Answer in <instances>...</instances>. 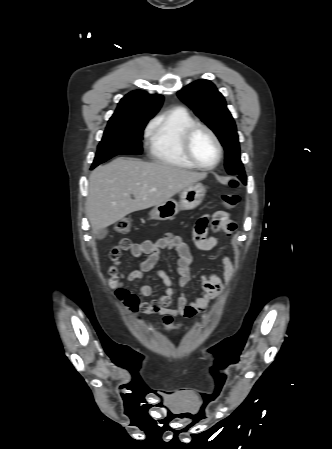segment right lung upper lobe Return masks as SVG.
<instances>
[{
    "mask_svg": "<svg viewBox=\"0 0 332 449\" xmlns=\"http://www.w3.org/2000/svg\"><path fill=\"white\" fill-rule=\"evenodd\" d=\"M163 102L162 95H151L147 92L136 90L123 97L110 119L128 117L152 118L160 109Z\"/></svg>",
    "mask_w": 332,
    "mask_h": 449,
    "instance_id": "obj_1",
    "label": "right lung upper lobe"
}]
</instances>
